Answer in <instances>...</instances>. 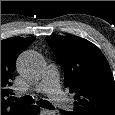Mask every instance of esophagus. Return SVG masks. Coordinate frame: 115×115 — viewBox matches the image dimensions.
Here are the masks:
<instances>
[{"instance_id": "obj_1", "label": "esophagus", "mask_w": 115, "mask_h": 115, "mask_svg": "<svg viewBox=\"0 0 115 115\" xmlns=\"http://www.w3.org/2000/svg\"><path fill=\"white\" fill-rule=\"evenodd\" d=\"M41 113L44 115H55V111L47 110V109H41Z\"/></svg>"}]
</instances>
